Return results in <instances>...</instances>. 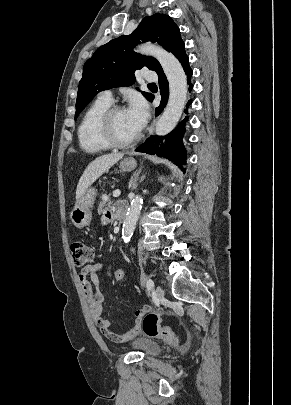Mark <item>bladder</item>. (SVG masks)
<instances>
[{"label":"bladder","instance_id":"31cf9c89","mask_svg":"<svg viewBox=\"0 0 291 405\" xmlns=\"http://www.w3.org/2000/svg\"><path fill=\"white\" fill-rule=\"evenodd\" d=\"M132 346L142 352L145 356L155 357L161 354V345L148 337H138L133 340Z\"/></svg>","mask_w":291,"mask_h":405}]
</instances>
